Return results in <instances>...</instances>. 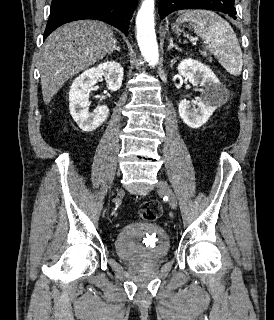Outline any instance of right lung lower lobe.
I'll use <instances>...</instances> for the list:
<instances>
[{
  "instance_id": "obj_1",
  "label": "right lung lower lobe",
  "mask_w": 274,
  "mask_h": 320,
  "mask_svg": "<svg viewBox=\"0 0 274 320\" xmlns=\"http://www.w3.org/2000/svg\"><path fill=\"white\" fill-rule=\"evenodd\" d=\"M137 0H52L44 39L59 26L76 20L106 22L125 35Z\"/></svg>"
}]
</instances>
